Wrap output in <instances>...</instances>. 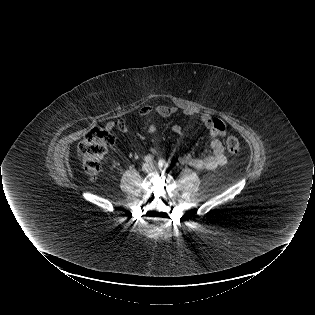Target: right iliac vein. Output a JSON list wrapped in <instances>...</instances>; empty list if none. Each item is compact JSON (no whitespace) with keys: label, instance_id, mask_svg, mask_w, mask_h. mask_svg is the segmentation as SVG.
<instances>
[{"label":"right iliac vein","instance_id":"63e3f726","mask_svg":"<svg viewBox=\"0 0 315 315\" xmlns=\"http://www.w3.org/2000/svg\"><path fill=\"white\" fill-rule=\"evenodd\" d=\"M142 169H143L145 172H150V171H152L153 167H152L151 164L145 163V164L143 165Z\"/></svg>","mask_w":315,"mask_h":315}]
</instances>
